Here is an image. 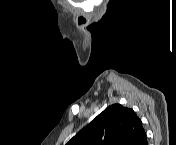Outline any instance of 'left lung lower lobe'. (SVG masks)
Listing matches in <instances>:
<instances>
[{"mask_svg": "<svg viewBox=\"0 0 176 145\" xmlns=\"http://www.w3.org/2000/svg\"><path fill=\"white\" fill-rule=\"evenodd\" d=\"M141 145H147V136L145 137Z\"/></svg>", "mask_w": 176, "mask_h": 145, "instance_id": "left-lung-lower-lobe-1", "label": "left lung lower lobe"}]
</instances>
